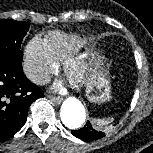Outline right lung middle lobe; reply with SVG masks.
<instances>
[{"instance_id": "right-lung-middle-lobe-1", "label": "right lung middle lobe", "mask_w": 153, "mask_h": 153, "mask_svg": "<svg viewBox=\"0 0 153 153\" xmlns=\"http://www.w3.org/2000/svg\"><path fill=\"white\" fill-rule=\"evenodd\" d=\"M30 23L10 19L0 20V59L22 62L20 46Z\"/></svg>"}]
</instances>
